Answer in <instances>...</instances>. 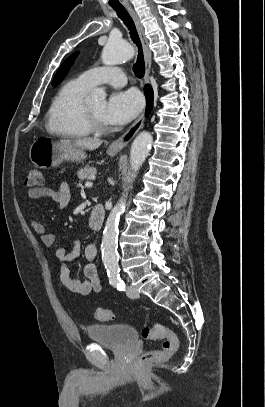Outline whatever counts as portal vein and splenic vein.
Segmentation results:
<instances>
[{"mask_svg": "<svg viewBox=\"0 0 265 407\" xmlns=\"http://www.w3.org/2000/svg\"><path fill=\"white\" fill-rule=\"evenodd\" d=\"M93 183L92 182H86L85 187H92Z\"/></svg>", "mask_w": 265, "mask_h": 407, "instance_id": "portal-vein-and-splenic-vein-1", "label": "portal vein and splenic vein"}]
</instances>
